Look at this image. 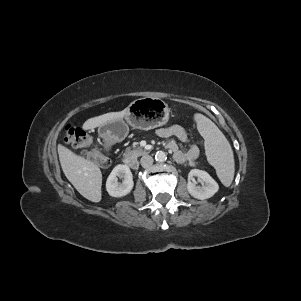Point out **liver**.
<instances>
[{
    "mask_svg": "<svg viewBox=\"0 0 301 301\" xmlns=\"http://www.w3.org/2000/svg\"><path fill=\"white\" fill-rule=\"evenodd\" d=\"M128 114V109L120 112H110L88 119L84 124L85 130L100 127L108 122L124 118ZM59 160L66 178L76 188V190L86 199L92 202H100L102 173L100 168L65 146L58 145Z\"/></svg>",
    "mask_w": 301,
    "mask_h": 301,
    "instance_id": "1",
    "label": "liver"
}]
</instances>
